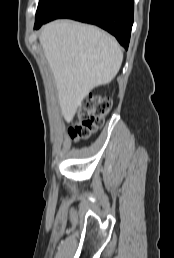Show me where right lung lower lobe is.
<instances>
[{
  "instance_id": "right-lung-lower-lobe-1",
  "label": "right lung lower lobe",
  "mask_w": 174,
  "mask_h": 258,
  "mask_svg": "<svg viewBox=\"0 0 174 258\" xmlns=\"http://www.w3.org/2000/svg\"><path fill=\"white\" fill-rule=\"evenodd\" d=\"M134 0H62L39 25L58 18H70L97 25L128 48L133 25Z\"/></svg>"
}]
</instances>
